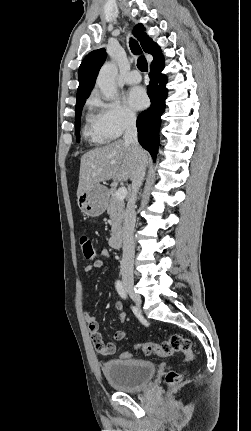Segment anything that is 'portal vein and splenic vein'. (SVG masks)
Listing matches in <instances>:
<instances>
[{"instance_id": "1", "label": "portal vein and splenic vein", "mask_w": 251, "mask_h": 431, "mask_svg": "<svg viewBox=\"0 0 251 431\" xmlns=\"http://www.w3.org/2000/svg\"><path fill=\"white\" fill-rule=\"evenodd\" d=\"M127 188L126 187H120L117 191H116V199L117 200H121L123 201L125 199V197L127 196Z\"/></svg>"}]
</instances>
